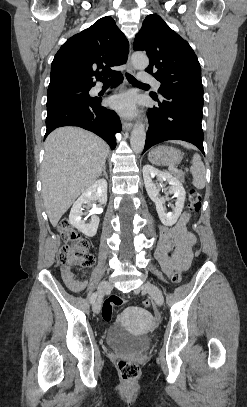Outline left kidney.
I'll list each match as a JSON object with an SVG mask.
<instances>
[{
	"instance_id": "left-kidney-1",
	"label": "left kidney",
	"mask_w": 247,
	"mask_h": 407,
	"mask_svg": "<svg viewBox=\"0 0 247 407\" xmlns=\"http://www.w3.org/2000/svg\"><path fill=\"white\" fill-rule=\"evenodd\" d=\"M155 176L159 181H167L170 185L169 193L174 194V197L176 198L175 207L172 212H166L163 206L165 200L158 196L159 190L157 188V184L152 181ZM143 178L148 196L156 205V210L160 221L165 226L174 225L181 215L186 198V192L182 183L171 174L162 172L151 165H145L143 167Z\"/></svg>"
}]
</instances>
